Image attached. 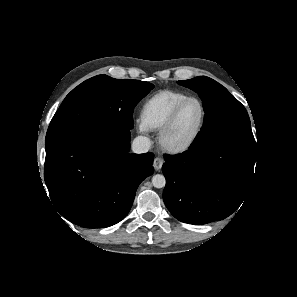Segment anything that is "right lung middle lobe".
Wrapping results in <instances>:
<instances>
[{
	"instance_id": "right-lung-middle-lobe-1",
	"label": "right lung middle lobe",
	"mask_w": 297,
	"mask_h": 297,
	"mask_svg": "<svg viewBox=\"0 0 297 297\" xmlns=\"http://www.w3.org/2000/svg\"><path fill=\"white\" fill-rule=\"evenodd\" d=\"M154 85L149 82L92 77L64 99L49 125L45 147L51 151L84 135L133 128V110Z\"/></svg>"
}]
</instances>
